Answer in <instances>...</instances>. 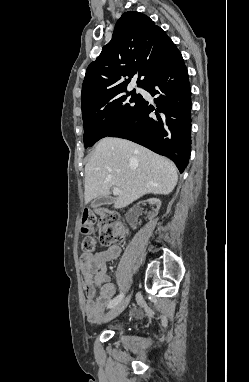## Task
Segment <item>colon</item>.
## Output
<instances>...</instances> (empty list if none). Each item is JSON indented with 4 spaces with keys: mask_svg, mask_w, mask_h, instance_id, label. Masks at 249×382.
<instances>
[{
    "mask_svg": "<svg viewBox=\"0 0 249 382\" xmlns=\"http://www.w3.org/2000/svg\"><path fill=\"white\" fill-rule=\"evenodd\" d=\"M96 224L100 226V243L110 245L124 241L127 228L118 218L103 209L85 210L81 218V230L83 233L90 232ZM97 242L92 237H85L82 241V249L85 252H93Z\"/></svg>",
    "mask_w": 249,
    "mask_h": 382,
    "instance_id": "colon-1",
    "label": "colon"
}]
</instances>
